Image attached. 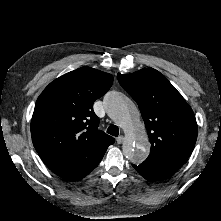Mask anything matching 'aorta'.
<instances>
[{"label": "aorta", "mask_w": 221, "mask_h": 221, "mask_svg": "<svg viewBox=\"0 0 221 221\" xmlns=\"http://www.w3.org/2000/svg\"><path fill=\"white\" fill-rule=\"evenodd\" d=\"M107 114L125 133L124 156L134 164L143 162L149 154L150 143L135 104L125 95L110 91L104 97Z\"/></svg>", "instance_id": "1"}]
</instances>
